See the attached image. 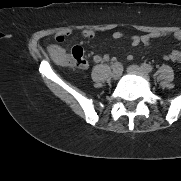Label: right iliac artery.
Wrapping results in <instances>:
<instances>
[{"instance_id":"82829eb1","label":"right iliac artery","mask_w":181,"mask_h":181,"mask_svg":"<svg viewBox=\"0 0 181 181\" xmlns=\"http://www.w3.org/2000/svg\"><path fill=\"white\" fill-rule=\"evenodd\" d=\"M119 66H121V64H120L119 62H115V63L112 65L113 68H116V67H119Z\"/></svg>"}]
</instances>
